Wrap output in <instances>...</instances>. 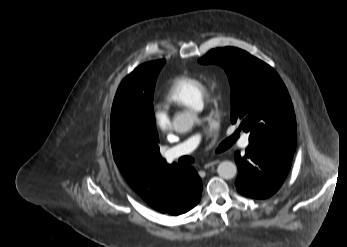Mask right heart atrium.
Segmentation results:
<instances>
[{
    "label": "right heart atrium",
    "mask_w": 347,
    "mask_h": 247,
    "mask_svg": "<svg viewBox=\"0 0 347 247\" xmlns=\"http://www.w3.org/2000/svg\"><path fill=\"white\" fill-rule=\"evenodd\" d=\"M153 118H154V123L159 130L163 132H167L171 129L172 120L166 111L162 109L155 110L153 114Z\"/></svg>",
    "instance_id": "right-heart-atrium-1"
}]
</instances>
